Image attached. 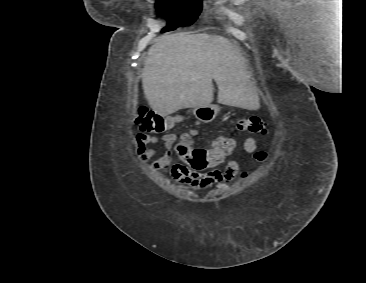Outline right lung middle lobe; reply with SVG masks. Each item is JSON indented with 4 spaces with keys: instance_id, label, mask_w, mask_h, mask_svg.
Returning <instances> with one entry per match:
<instances>
[{
    "instance_id": "obj_1",
    "label": "right lung middle lobe",
    "mask_w": 366,
    "mask_h": 283,
    "mask_svg": "<svg viewBox=\"0 0 366 283\" xmlns=\"http://www.w3.org/2000/svg\"><path fill=\"white\" fill-rule=\"evenodd\" d=\"M157 10L168 20L162 30H175L179 26L191 25L202 9V0H157Z\"/></svg>"
}]
</instances>
